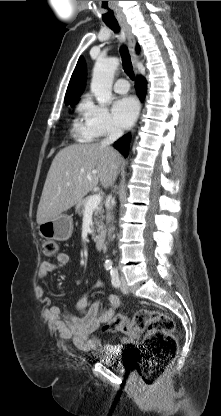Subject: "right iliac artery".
Returning <instances> with one entry per match:
<instances>
[{"label":"right iliac artery","instance_id":"82829eb1","mask_svg":"<svg viewBox=\"0 0 221 416\" xmlns=\"http://www.w3.org/2000/svg\"><path fill=\"white\" fill-rule=\"evenodd\" d=\"M104 266H105V268H106L107 270H109V269H111V268H112V263L106 262V263L104 264Z\"/></svg>","mask_w":221,"mask_h":416}]
</instances>
